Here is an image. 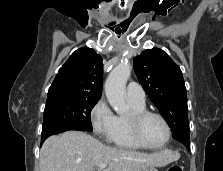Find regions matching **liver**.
<instances>
[{
	"mask_svg": "<svg viewBox=\"0 0 223 171\" xmlns=\"http://www.w3.org/2000/svg\"><path fill=\"white\" fill-rule=\"evenodd\" d=\"M178 157L169 150L146 154L113 148L84 132L68 131L44 142L40 171H94L98 164H106L104 171H142L165 166Z\"/></svg>",
	"mask_w": 223,
	"mask_h": 171,
	"instance_id": "liver-1",
	"label": "liver"
}]
</instances>
